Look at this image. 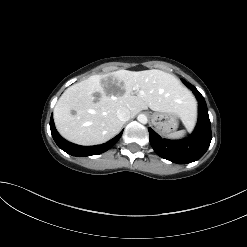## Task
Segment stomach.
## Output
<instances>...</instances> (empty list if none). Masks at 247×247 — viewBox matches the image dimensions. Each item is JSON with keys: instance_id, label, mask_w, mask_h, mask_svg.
Masks as SVG:
<instances>
[{"instance_id": "obj_1", "label": "stomach", "mask_w": 247, "mask_h": 247, "mask_svg": "<svg viewBox=\"0 0 247 247\" xmlns=\"http://www.w3.org/2000/svg\"><path fill=\"white\" fill-rule=\"evenodd\" d=\"M152 124L158 131L166 135L178 128V116L173 113L155 112L152 115Z\"/></svg>"}]
</instances>
